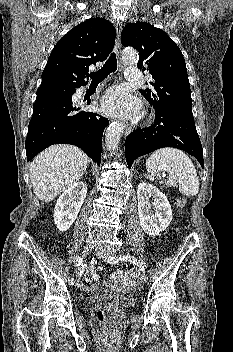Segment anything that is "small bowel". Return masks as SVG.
Here are the masks:
<instances>
[{"label":"small bowel","mask_w":233,"mask_h":352,"mask_svg":"<svg viewBox=\"0 0 233 352\" xmlns=\"http://www.w3.org/2000/svg\"><path fill=\"white\" fill-rule=\"evenodd\" d=\"M82 273H83V270H80V271L78 272L79 275H82Z\"/></svg>","instance_id":"1"}]
</instances>
